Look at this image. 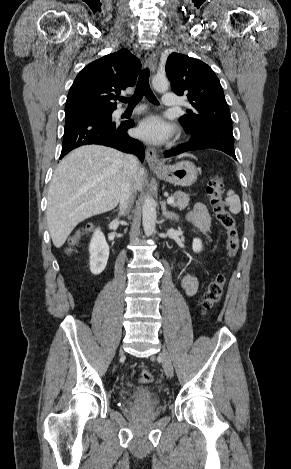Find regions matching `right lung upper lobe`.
Returning a JSON list of instances; mask_svg holds the SVG:
<instances>
[{"label":"right lung upper lobe","mask_w":291,"mask_h":469,"mask_svg":"<svg viewBox=\"0 0 291 469\" xmlns=\"http://www.w3.org/2000/svg\"><path fill=\"white\" fill-rule=\"evenodd\" d=\"M140 61L121 49L88 64L75 78L65 105V117L94 110L116 109V98L135 84Z\"/></svg>","instance_id":"1"}]
</instances>
